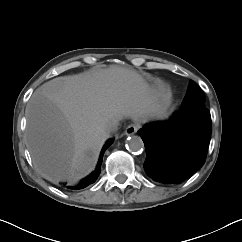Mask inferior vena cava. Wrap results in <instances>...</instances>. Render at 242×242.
I'll list each match as a JSON object with an SVG mask.
<instances>
[{"label":"inferior vena cava","instance_id":"602c4592","mask_svg":"<svg viewBox=\"0 0 242 242\" xmlns=\"http://www.w3.org/2000/svg\"><path fill=\"white\" fill-rule=\"evenodd\" d=\"M117 125H118L117 120H112V121L108 122L107 125L105 126V130H104L105 135L108 136L112 131L116 130Z\"/></svg>","mask_w":242,"mask_h":242}]
</instances>
